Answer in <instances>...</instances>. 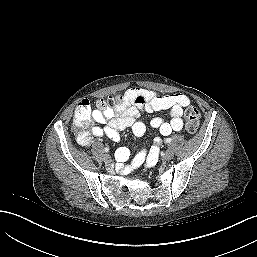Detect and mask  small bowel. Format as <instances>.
Listing matches in <instances>:
<instances>
[{
  "instance_id": "small-bowel-1",
  "label": "small bowel",
  "mask_w": 257,
  "mask_h": 257,
  "mask_svg": "<svg viewBox=\"0 0 257 257\" xmlns=\"http://www.w3.org/2000/svg\"><path fill=\"white\" fill-rule=\"evenodd\" d=\"M190 105V99L184 94L160 95L152 90L144 88H131L125 96L123 103L115 109L94 110L91 111L92 123L101 124L94 126L90 131H81L77 135V141L82 145H88L94 137H100L106 134L113 141L120 139V131L130 128L136 137H141L146 126L140 119L143 113L166 110L170 119L164 120L161 117H155L151 120V126L158 129L160 134L168 136L173 132H179L183 128L182 115L184 109ZM77 111L74 114L76 119ZM160 140H155V145L148 151L137 153L129 170L141 165L152 167L158 157V146ZM130 157V152L126 148H120L116 151V158L119 162H126Z\"/></svg>"
}]
</instances>
